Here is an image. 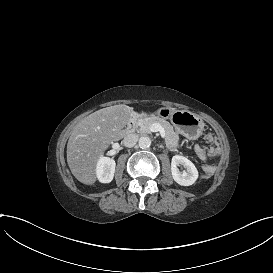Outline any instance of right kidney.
I'll list each match as a JSON object with an SVG mask.
<instances>
[{
    "label": "right kidney",
    "instance_id": "obj_1",
    "mask_svg": "<svg viewBox=\"0 0 273 273\" xmlns=\"http://www.w3.org/2000/svg\"><path fill=\"white\" fill-rule=\"evenodd\" d=\"M116 163L109 157L101 156L97 162L96 175L101 183H110L113 180Z\"/></svg>",
    "mask_w": 273,
    "mask_h": 273
}]
</instances>
